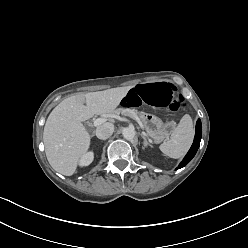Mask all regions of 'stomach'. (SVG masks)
I'll return each instance as SVG.
<instances>
[{
  "label": "stomach",
  "mask_w": 248,
  "mask_h": 248,
  "mask_svg": "<svg viewBox=\"0 0 248 248\" xmlns=\"http://www.w3.org/2000/svg\"><path fill=\"white\" fill-rule=\"evenodd\" d=\"M135 120L143 123L144 129L153 143L167 140L175 127L173 121L164 122L161 118L149 113H137Z\"/></svg>",
  "instance_id": "obj_1"
}]
</instances>
